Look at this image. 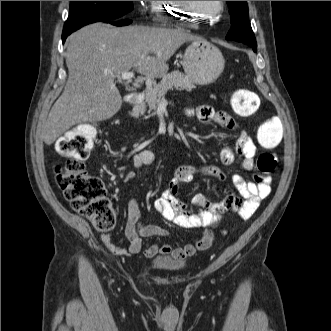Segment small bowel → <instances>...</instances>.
<instances>
[{"mask_svg":"<svg viewBox=\"0 0 331 331\" xmlns=\"http://www.w3.org/2000/svg\"><path fill=\"white\" fill-rule=\"evenodd\" d=\"M186 114L196 117L203 123L214 122L219 126L235 130L236 123L233 118L223 111H215L212 107L201 105L186 110ZM256 146L252 138L244 131H241L234 148L224 147L220 152V160L224 166L233 164L236 156L239 158V165L243 170L251 171L254 168V157ZM132 163L135 168L152 166L154 154L150 150H142L132 156ZM197 173L212 176L218 180L224 179V174L216 166H205L198 168L191 165L180 166L176 169L168 187L161 196L153 203L154 210L165 220L185 229L203 228L201 239L213 240V228L217 227L228 212H234L241 220L249 219L257 210L260 202L267 198L271 192V178L265 175L254 174L252 180L248 181L241 175H234L232 182L238 192L223 188L221 192L224 198L219 202H212L203 194H197L191 201L192 207L182 201L178 194L180 185L191 182ZM127 181L134 179L130 173ZM167 231L156 225H146L141 221L140 207L137 199L131 198L127 205V218L125 224V237L129 241L126 248L114 246L108 236H103L107 248L116 255L129 256L139 253L143 247L145 237H166ZM196 246L186 244L182 247L173 248L171 245L154 244L144 250L148 258L158 254L170 255L175 259H185L192 256Z\"/></svg>","mask_w":331,"mask_h":331,"instance_id":"small-bowel-1","label":"small bowel"}]
</instances>
